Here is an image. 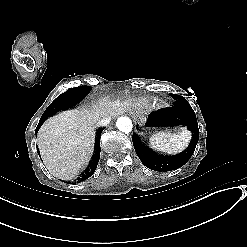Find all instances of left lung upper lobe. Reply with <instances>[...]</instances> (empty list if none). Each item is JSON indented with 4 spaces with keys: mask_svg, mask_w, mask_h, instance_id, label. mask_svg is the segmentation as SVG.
<instances>
[{
    "mask_svg": "<svg viewBox=\"0 0 247 247\" xmlns=\"http://www.w3.org/2000/svg\"><path fill=\"white\" fill-rule=\"evenodd\" d=\"M171 96L176 99V103H188L187 100L179 95L171 94Z\"/></svg>",
    "mask_w": 247,
    "mask_h": 247,
    "instance_id": "5c2ea615",
    "label": "left lung upper lobe"
}]
</instances>
